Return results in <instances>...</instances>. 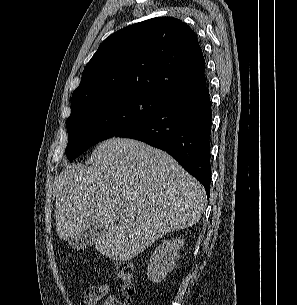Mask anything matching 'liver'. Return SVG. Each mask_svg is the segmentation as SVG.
<instances>
[{"label": "liver", "instance_id": "obj_1", "mask_svg": "<svg viewBox=\"0 0 297 305\" xmlns=\"http://www.w3.org/2000/svg\"><path fill=\"white\" fill-rule=\"evenodd\" d=\"M92 159L90 166L64 169L56 180L61 240L102 224L96 250L125 261L201 218L207 201L203 186L166 152L113 137L96 147Z\"/></svg>", "mask_w": 297, "mask_h": 305}]
</instances>
